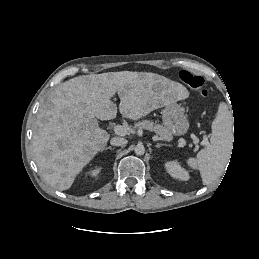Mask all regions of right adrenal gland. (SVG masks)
Listing matches in <instances>:
<instances>
[{"label": "right adrenal gland", "instance_id": "1", "mask_svg": "<svg viewBox=\"0 0 259 259\" xmlns=\"http://www.w3.org/2000/svg\"><path fill=\"white\" fill-rule=\"evenodd\" d=\"M108 149H110V150H114V148H113V147H111V146H109V147H104V150H108Z\"/></svg>", "mask_w": 259, "mask_h": 259}]
</instances>
